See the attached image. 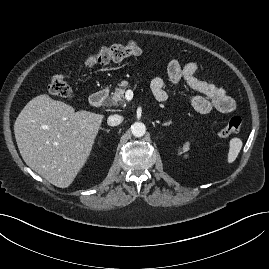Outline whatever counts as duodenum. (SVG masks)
Wrapping results in <instances>:
<instances>
[{"mask_svg":"<svg viewBox=\"0 0 269 269\" xmlns=\"http://www.w3.org/2000/svg\"><path fill=\"white\" fill-rule=\"evenodd\" d=\"M109 92L106 89L94 92L90 97V103L94 107H101L104 105L108 98Z\"/></svg>","mask_w":269,"mask_h":269,"instance_id":"410a0bca","label":"duodenum"}]
</instances>
